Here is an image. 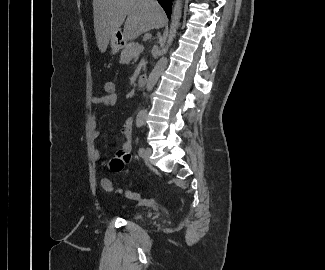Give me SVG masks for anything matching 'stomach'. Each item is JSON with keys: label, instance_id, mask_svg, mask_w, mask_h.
I'll use <instances>...</instances> for the list:
<instances>
[{"label": "stomach", "instance_id": "1", "mask_svg": "<svg viewBox=\"0 0 325 270\" xmlns=\"http://www.w3.org/2000/svg\"><path fill=\"white\" fill-rule=\"evenodd\" d=\"M128 40L125 38L124 34L120 31H117L114 37L111 38V48L112 53L118 52L121 48L124 47Z\"/></svg>", "mask_w": 325, "mask_h": 270}]
</instances>
